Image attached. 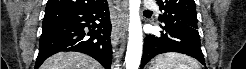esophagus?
Listing matches in <instances>:
<instances>
[{"label":"esophagus","instance_id":"obj_1","mask_svg":"<svg viewBox=\"0 0 246 69\" xmlns=\"http://www.w3.org/2000/svg\"><path fill=\"white\" fill-rule=\"evenodd\" d=\"M127 7H128V3H127L126 0H124L122 2L123 11L120 12L122 14V17H123L122 24H121L123 30H126L127 26H128V13H127L128 8ZM111 41H112L113 45H117L118 44V42H119V34H118L117 30H114L112 32Z\"/></svg>","mask_w":246,"mask_h":69}]
</instances>
